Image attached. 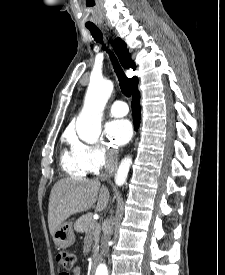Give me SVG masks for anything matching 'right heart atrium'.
<instances>
[{
    "instance_id": "1",
    "label": "right heart atrium",
    "mask_w": 225,
    "mask_h": 275,
    "mask_svg": "<svg viewBox=\"0 0 225 275\" xmlns=\"http://www.w3.org/2000/svg\"><path fill=\"white\" fill-rule=\"evenodd\" d=\"M72 150L87 170L93 173L116 160V151L106 147L103 143L88 144L72 139Z\"/></svg>"
}]
</instances>
